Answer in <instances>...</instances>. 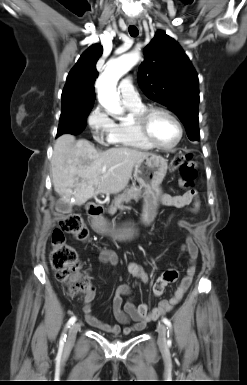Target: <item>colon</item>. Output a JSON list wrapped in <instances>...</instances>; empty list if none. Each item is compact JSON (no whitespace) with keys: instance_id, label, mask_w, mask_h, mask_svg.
<instances>
[{"instance_id":"colon-1","label":"colon","mask_w":247,"mask_h":385,"mask_svg":"<svg viewBox=\"0 0 247 385\" xmlns=\"http://www.w3.org/2000/svg\"><path fill=\"white\" fill-rule=\"evenodd\" d=\"M181 172L180 184L190 188L197 176V165L190 154H177L172 161ZM65 235L78 240L88 238V230L79 214H69L58 221L51 235L50 263L56 279L67 286L69 295H88L93 285L80 273V262L76 250L65 241Z\"/></svg>"}]
</instances>
